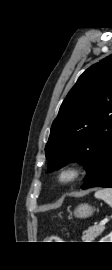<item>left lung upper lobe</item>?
Wrapping results in <instances>:
<instances>
[{
    "mask_svg": "<svg viewBox=\"0 0 112 270\" xmlns=\"http://www.w3.org/2000/svg\"><path fill=\"white\" fill-rule=\"evenodd\" d=\"M112 145V54L89 67L64 99L45 147L48 170L78 160L93 178Z\"/></svg>",
    "mask_w": 112,
    "mask_h": 270,
    "instance_id": "5c2ea615",
    "label": "left lung upper lobe"
}]
</instances>
